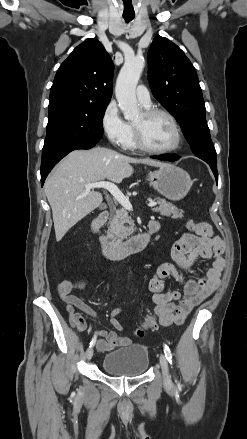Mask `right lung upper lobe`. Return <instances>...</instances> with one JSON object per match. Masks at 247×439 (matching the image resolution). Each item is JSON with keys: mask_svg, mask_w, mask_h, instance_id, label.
<instances>
[{"mask_svg": "<svg viewBox=\"0 0 247 439\" xmlns=\"http://www.w3.org/2000/svg\"><path fill=\"white\" fill-rule=\"evenodd\" d=\"M114 65L96 38L77 46L60 65L50 91L49 105L63 101L109 103Z\"/></svg>", "mask_w": 247, "mask_h": 439, "instance_id": "cb5924a9", "label": "right lung upper lobe"}]
</instances>
